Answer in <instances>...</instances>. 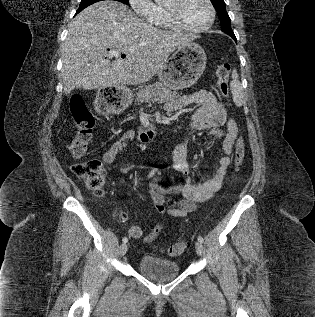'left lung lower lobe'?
<instances>
[{"mask_svg": "<svg viewBox=\"0 0 315 317\" xmlns=\"http://www.w3.org/2000/svg\"><path fill=\"white\" fill-rule=\"evenodd\" d=\"M232 38L236 41V37L235 36H232Z\"/></svg>", "mask_w": 315, "mask_h": 317, "instance_id": "obj_1", "label": "left lung lower lobe"}]
</instances>
